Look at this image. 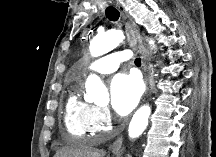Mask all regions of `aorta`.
Here are the masks:
<instances>
[{
	"instance_id": "762f6f07",
	"label": "aorta",
	"mask_w": 216,
	"mask_h": 157,
	"mask_svg": "<svg viewBox=\"0 0 216 157\" xmlns=\"http://www.w3.org/2000/svg\"><path fill=\"white\" fill-rule=\"evenodd\" d=\"M124 39V34L120 30H111L105 34L98 35L90 42V53L93 57L102 56L116 48ZM149 44L154 46V41L149 40ZM86 100L96 104L109 101V94L105 85L97 75H90L86 80ZM151 107L144 105L140 107L129 124L128 134L132 139L138 138L148 126Z\"/></svg>"
}]
</instances>
